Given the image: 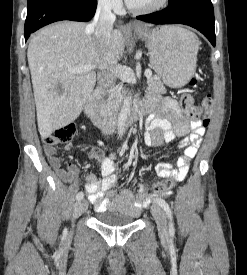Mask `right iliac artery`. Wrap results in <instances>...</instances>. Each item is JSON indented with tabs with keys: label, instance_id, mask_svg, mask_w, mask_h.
Returning a JSON list of instances; mask_svg holds the SVG:
<instances>
[{
	"label": "right iliac artery",
	"instance_id": "obj_1",
	"mask_svg": "<svg viewBox=\"0 0 247 275\" xmlns=\"http://www.w3.org/2000/svg\"><path fill=\"white\" fill-rule=\"evenodd\" d=\"M83 198H84L83 192H78L76 195V199L79 201V200H82Z\"/></svg>",
	"mask_w": 247,
	"mask_h": 275
}]
</instances>
